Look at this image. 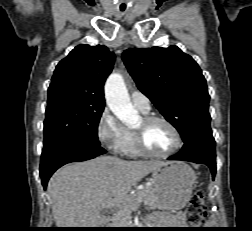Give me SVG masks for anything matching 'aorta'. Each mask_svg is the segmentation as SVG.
Instances as JSON below:
<instances>
[{
  "instance_id": "aorta-1",
  "label": "aorta",
  "mask_w": 252,
  "mask_h": 231,
  "mask_svg": "<svg viewBox=\"0 0 252 231\" xmlns=\"http://www.w3.org/2000/svg\"><path fill=\"white\" fill-rule=\"evenodd\" d=\"M105 98L110 110L125 124L135 122L139 115L134 109L122 75L112 73L105 84Z\"/></svg>"
}]
</instances>
